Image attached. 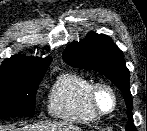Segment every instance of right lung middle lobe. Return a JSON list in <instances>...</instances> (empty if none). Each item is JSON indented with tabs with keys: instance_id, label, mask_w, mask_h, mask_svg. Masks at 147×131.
Returning a JSON list of instances; mask_svg holds the SVG:
<instances>
[{
	"instance_id": "1",
	"label": "right lung middle lobe",
	"mask_w": 147,
	"mask_h": 131,
	"mask_svg": "<svg viewBox=\"0 0 147 131\" xmlns=\"http://www.w3.org/2000/svg\"><path fill=\"white\" fill-rule=\"evenodd\" d=\"M45 71L0 73V119L13 113L35 110V95Z\"/></svg>"
}]
</instances>
